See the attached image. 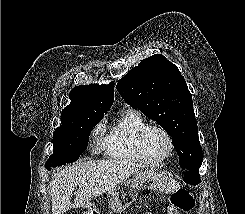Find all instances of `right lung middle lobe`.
<instances>
[{"label": "right lung middle lobe", "mask_w": 245, "mask_h": 214, "mask_svg": "<svg viewBox=\"0 0 245 214\" xmlns=\"http://www.w3.org/2000/svg\"><path fill=\"white\" fill-rule=\"evenodd\" d=\"M104 113L78 116L69 127L53 134V154L45 163L47 170L78 160L86 150L92 128L103 118Z\"/></svg>", "instance_id": "obj_1"}]
</instances>
